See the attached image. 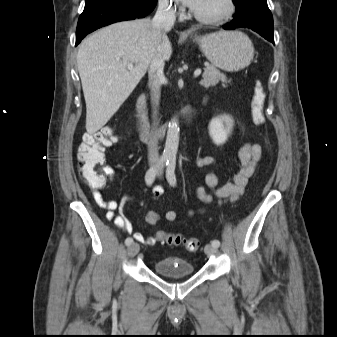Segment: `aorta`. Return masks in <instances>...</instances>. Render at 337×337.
I'll return each instance as SVG.
<instances>
[{"instance_id": "aorta-1", "label": "aorta", "mask_w": 337, "mask_h": 337, "mask_svg": "<svg viewBox=\"0 0 337 337\" xmlns=\"http://www.w3.org/2000/svg\"><path fill=\"white\" fill-rule=\"evenodd\" d=\"M179 145V124L176 119H172L168 125L164 156L175 157Z\"/></svg>"}]
</instances>
